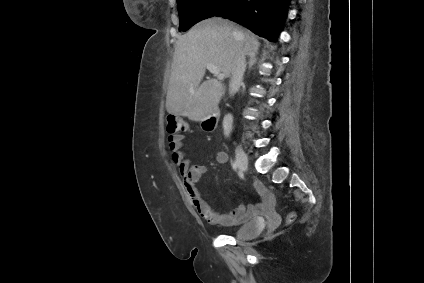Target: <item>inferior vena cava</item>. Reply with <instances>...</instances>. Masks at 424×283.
<instances>
[{
    "instance_id": "602c4592",
    "label": "inferior vena cava",
    "mask_w": 424,
    "mask_h": 283,
    "mask_svg": "<svg viewBox=\"0 0 424 283\" xmlns=\"http://www.w3.org/2000/svg\"><path fill=\"white\" fill-rule=\"evenodd\" d=\"M245 69H246L245 54L240 53L236 58L235 65L232 71V77L230 82L231 94H233L235 90L237 89V87H239V85L241 84L244 73H245Z\"/></svg>"
}]
</instances>
